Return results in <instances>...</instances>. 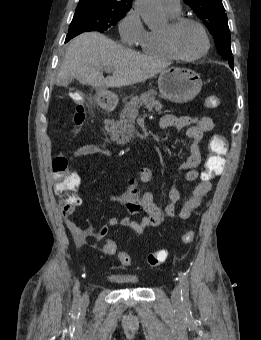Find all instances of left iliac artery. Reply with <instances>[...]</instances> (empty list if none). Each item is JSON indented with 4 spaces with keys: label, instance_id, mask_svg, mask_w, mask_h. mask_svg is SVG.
Here are the masks:
<instances>
[{
    "label": "left iliac artery",
    "instance_id": "1",
    "mask_svg": "<svg viewBox=\"0 0 261 340\" xmlns=\"http://www.w3.org/2000/svg\"><path fill=\"white\" fill-rule=\"evenodd\" d=\"M178 275L181 285V300L187 306L189 304V281L187 278V274L180 271Z\"/></svg>",
    "mask_w": 261,
    "mask_h": 340
}]
</instances>
